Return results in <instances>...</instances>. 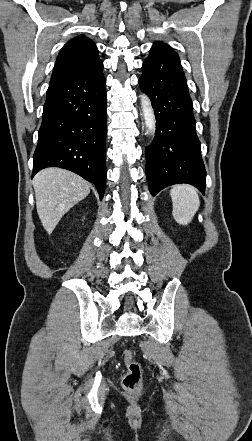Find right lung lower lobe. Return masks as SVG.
<instances>
[{"label": "right lung lower lobe", "mask_w": 252, "mask_h": 441, "mask_svg": "<svg viewBox=\"0 0 252 441\" xmlns=\"http://www.w3.org/2000/svg\"><path fill=\"white\" fill-rule=\"evenodd\" d=\"M103 64L49 84L33 156L34 176L47 167L73 171L106 187V102Z\"/></svg>", "instance_id": "obj_1"}]
</instances>
